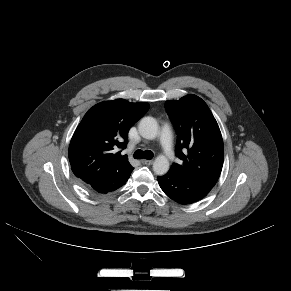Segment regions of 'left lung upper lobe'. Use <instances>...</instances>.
Segmentation results:
<instances>
[{"instance_id": "1", "label": "left lung upper lobe", "mask_w": 291, "mask_h": 291, "mask_svg": "<svg viewBox=\"0 0 291 291\" xmlns=\"http://www.w3.org/2000/svg\"><path fill=\"white\" fill-rule=\"evenodd\" d=\"M167 113L177 131L176 155L181 160L170 170L214 186L224 159L223 140L207 104L196 95L166 101Z\"/></svg>"}]
</instances>
